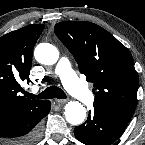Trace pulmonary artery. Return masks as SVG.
<instances>
[{
	"label": "pulmonary artery",
	"instance_id": "obj_1",
	"mask_svg": "<svg viewBox=\"0 0 145 145\" xmlns=\"http://www.w3.org/2000/svg\"><path fill=\"white\" fill-rule=\"evenodd\" d=\"M56 73L60 76L68 91L78 100L86 104L93 101L92 92L77 78L69 60L66 57H62L59 60L56 67Z\"/></svg>",
	"mask_w": 145,
	"mask_h": 145
}]
</instances>
